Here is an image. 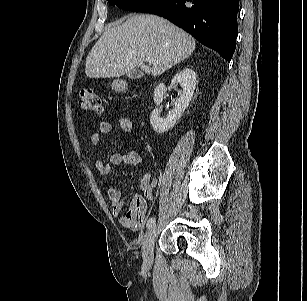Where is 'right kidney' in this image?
<instances>
[{
  "mask_svg": "<svg viewBox=\"0 0 307 301\" xmlns=\"http://www.w3.org/2000/svg\"><path fill=\"white\" fill-rule=\"evenodd\" d=\"M171 83L175 86L180 84L182 88L180 98L175 102L174 109L168 113L166 118H161L159 116L158 108H155L150 116L152 128L159 134L171 129L181 118L193 97L197 83V75L192 69L184 68L173 77ZM166 91L167 89L163 83H160L156 86L153 99L157 106L162 103L163 96Z\"/></svg>",
  "mask_w": 307,
  "mask_h": 301,
  "instance_id": "1",
  "label": "right kidney"
}]
</instances>
